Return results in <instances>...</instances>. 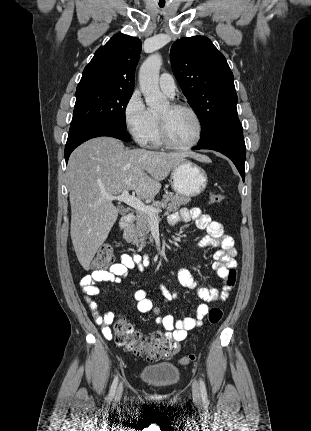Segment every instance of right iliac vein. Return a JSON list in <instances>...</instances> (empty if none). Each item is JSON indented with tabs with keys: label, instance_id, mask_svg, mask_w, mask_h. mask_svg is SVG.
I'll return each instance as SVG.
<instances>
[{
	"label": "right iliac vein",
	"instance_id": "63e3f726",
	"mask_svg": "<svg viewBox=\"0 0 311 431\" xmlns=\"http://www.w3.org/2000/svg\"><path fill=\"white\" fill-rule=\"evenodd\" d=\"M122 392H123V386H122V384H120L119 385V387H118V389H117V392H116V395H115V399H120V397H121V395H122Z\"/></svg>",
	"mask_w": 311,
	"mask_h": 431
}]
</instances>
